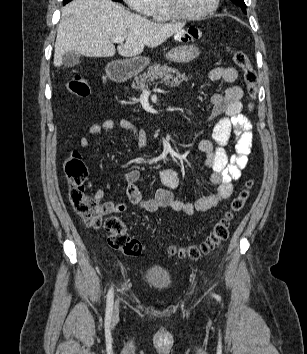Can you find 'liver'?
<instances>
[{
  "instance_id": "obj_1",
  "label": "liver",
  "mask_w": 307,
  "mask_h": 354,
  "mask_svg": "<svg viewBox=\"0 0 307 354\" xmlns=\"http://www.w3.org/2000/svg\"><path fill=\"white\" fill-rule=\"evenodd\" d=\"M184 23H154L132 14L111 0H73L62 9L54 49V66L67 52L87 57H112L113 37H123L119 55L136 57L145 46L154 48L178 33Z\"/></svg>"
}]
</instances>
